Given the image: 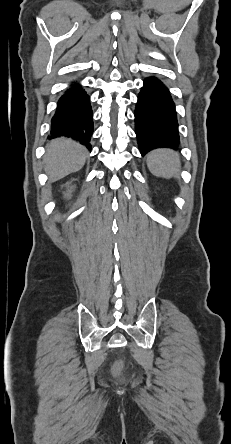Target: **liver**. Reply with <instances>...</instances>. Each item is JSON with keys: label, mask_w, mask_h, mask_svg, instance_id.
<instances>
[{"label": "liver", "mask_w": 231, "mask_h": 444, "mask_svg": "<svg viewBox=\"0 0 231 444\" xmlns=\"http://www.w3.org/2000/svg\"><path fill=\"white\" fill-rule=\"evenodd\" d=\"M87 149L67 138H57L47 145L44 157L45 171L50 181L55 182L72 172L80 170L87 158Z\"/></svg>", "instance_id": "obj_1"}]
</instances>
